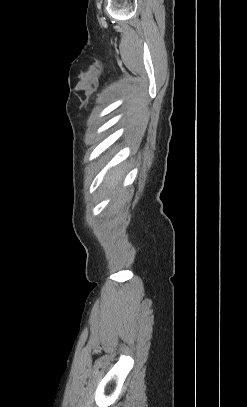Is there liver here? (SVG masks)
<instances>
[{"label":"liver","instance_id":"1","mask_svg":"<svg viewBox=\"0 0 247 407\" xmlns=\"http://www.w3.org/2000/svg\"><path fill=\"white\" fill-rule=\"evenodd\" d=\"M123 171L122 169H115L110 175L107 176L105 179L106 187L110 189V191H114L115 188L118 187L120 182L122 181Z\"/></svg>","mask_w":247,"mask_h":407}]
</instances>
